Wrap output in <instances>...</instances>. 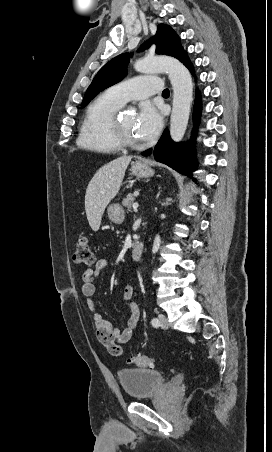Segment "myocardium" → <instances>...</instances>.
I'll return each instance as SVG.
<instances>
[{
	"instance_id": "obj_1",
	"label": "myocardium",
	"mask_w": 272,
	"mask_h": 452,
	"mask_svg": "<svg viewBox=\"0 0 272 452\" xmlns=\"http://www.w3.org/2000/svg\"><path fill=\"white\" fill-rule=\"evenodd\" d=\"M109 134L112 140L119 147H137L139 145L138 141L130 139L123 131L121 124L119 122L118 111L112 116L109 124Z\"/></svg>"
}]
</instances>
